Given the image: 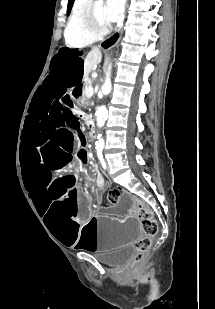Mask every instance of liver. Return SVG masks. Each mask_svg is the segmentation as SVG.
<instances>
[{"label": "liver", "mask_w": 215, "mask_h": 309, "mask_svg": "<svg viewBox=\"0 0 215 309\" xmlns=\"http://www.w3.org/2000/svg\"><path fill=\"white\" fill-rule=\"evenodd\" d=\"M102 54L98 46H92V50L88 52L84 60V76H88L90 70H92L94 64L101 62Z\"/></svg>", "instance_id": "6515ba94"}]
</instances>
